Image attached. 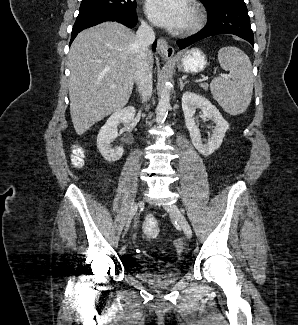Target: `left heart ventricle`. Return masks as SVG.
<instances>
[{
	"mask_svg": "<svg viewBox=\"0 0 298 325\" xmlns=\"http://www.w3.org/2000/svg\"><path fill=\"white\" fill-rule=\"evenodd\" d=\"M187 10L188 11H187V19H186L185 27H187L191 23V19H192L189 7H187Z\"/></svg>",
	"mask_w": 298,
	"mask_h": 325,
	"instance_id": "left-heart-ventricle-1",
	"label": "left heart ventricle"
}]
</instances>
